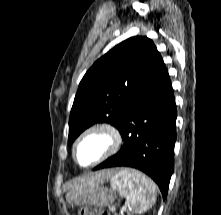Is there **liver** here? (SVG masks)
<instances>
[{
    "label": "liver",
    "mask_w": 221,
    "mask_h": 215,
    "mask_svg": "<svg viewBox=\"0 0 221 215\" xmlns=\"http://www.w3.org/2000/svg\"><path fill=\"white\" fill-rule=\"evenodd\" d=\"M115 174L114 170H102L96 173H91L81 178H75L66 184L68 190L82 189L87 187L103 184L108 181Z\"/></svg>",
    "instance_id": "obj_1"
}]
</instances>
